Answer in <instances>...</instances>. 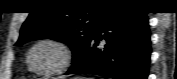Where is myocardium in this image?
<instances>
[{
    "instance_id": "obj_1",
    "label": "myocardium",
    "mask_w": 177,
    "mask_h": 79,
    "mask_svg": "<svg viewBox=\"0 0 177 79\" xmlns=\"http://www.w3.org/2000/svg\"><path fill=\"white\" fill-rule=\"evenodd\" d=\"M44 44L55 46L60 52L59 63L53 69L48 70V71L37 70L32 65V62H31V55H32L33 51L37 47H39L41 45H44ZM72 59H73V50L68 43H66L62 40L48 38V39H42V40L37 41L29 49V51L27 53V57H26V62H27V65H28L29 69L36 74H39V75H53V74L59 73L62 70H64L71 63Z\"/></svg>"
}]
</instances>
